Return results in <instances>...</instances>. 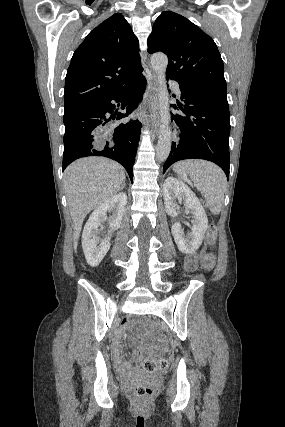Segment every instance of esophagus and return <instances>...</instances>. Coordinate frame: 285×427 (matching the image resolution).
<instances>
[{
    "label": "esophagus",
    "mask_w": 285,
    "mask_h": 427,
    "mask_svg": "<svg viewBox=\"0 0 285 427\" xmlns=\"http://www.w3.org/2000/svg\"><path fill=\"white\" fill-rule=\"evenodd\" d=\"M147 109L150 117L149 126L152 132L157 134L159 131L160 123V109L157 102V80L154 73L151 76L148 86Z\"/></svg>",
    "instance_id": "esophagus-1"
}]
</instances>
